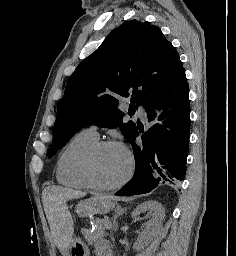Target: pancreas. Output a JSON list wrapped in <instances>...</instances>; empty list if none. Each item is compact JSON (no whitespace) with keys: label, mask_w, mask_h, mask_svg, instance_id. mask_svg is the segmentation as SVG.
Instances as JSON below:
<instances>
[{"label":"pancreas","mask_w":236,"mask_h":256,"mask_svg":"<svg viewBox=\"0 0 236 256\" xmlns=\"http://www.w3.org/2000/svg\"><path fill=\"white\" fill-rule=\"evenodd\" d=\"M108 224V218H104V220H97V222H91V227H97V230L92 232V234L89 227H84L82 234H84L85 240L88 242V246H91L92 243H101V238L107 236L106 230H111Z\"/></svg>","instance_id":"obj_1"}]
</instances>
